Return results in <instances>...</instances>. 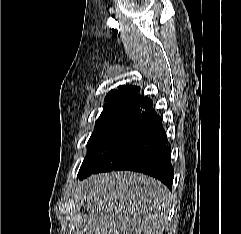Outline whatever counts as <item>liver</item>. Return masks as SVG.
<instances>
[{"label": "liver", "instance_id": "liver-1", "mask_svg": "<svg viewBox=\"0 0 241 234\" xmlns=\"http://www.w3.org/2000/svg\"><path fill=\"white\" fill-rule=\"evenodd\" d=\"M77 197L88 211L84 234H163L172 194L152 177L119 171L83 180Z\"/></svg>", "mask_w": 241, "mask_h": 234}]
</instances>
